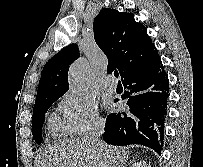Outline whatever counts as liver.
<instances>
[{"mask_svg": "<svg viewBox=\"0 0 203 167\" xmlns=\"http://www.w3.org/2000/svg\"><path fill=\"white\" fill-rule=\"evenodd\" d=\"M95 148L86 139H67L45 148L35 167H124L130 151L101 142Z\"/></svg>", "mask_w": 203, "mask_h": 167, "instance_id": "1", "label": "liver"}]
</instances>
